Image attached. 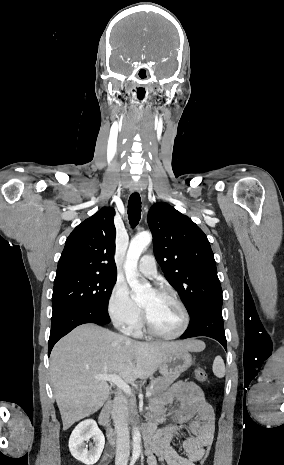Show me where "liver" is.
<instances>
[{
    "label": "liver",
    "instance_id": "liver-1",
    "mask_svg": "<svg viewBox=\"0 0 284 465\" xmlns=\"http://www.w3.org/2000/svg\"><path fill=\"white\" fill-rule=\"evenodd\" d=\"M205 343H139L97 325H80L56 343L51 353L50 379L63 431L99 411L107 401L108 383L95 375H119L125 383L148 379L175 351H204Z\"/></svg>",
    "mask_w": 284,
    "mask_h": 465
}]
</instances>
